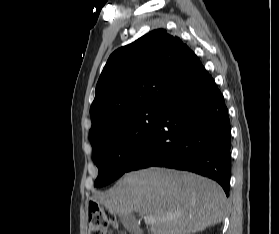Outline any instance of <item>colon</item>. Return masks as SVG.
Here are the masks:
<instances>
[{
  "mask_svg": "<svg viewBox=\"0 0 279 234\" xmlns=\"http://www.w3.org/2000/svg\"><path fill=\"white\" fill-rule=\"evenodd\" d=\"M115 225L114 214L92 203L88 213V234H108L111 226Z\"/></svg>",
  "mask_w": 279,
  "mask_h": 234,
  "instance_id": "5ec220e1",
  "label": "colon"
}]
</instances>
